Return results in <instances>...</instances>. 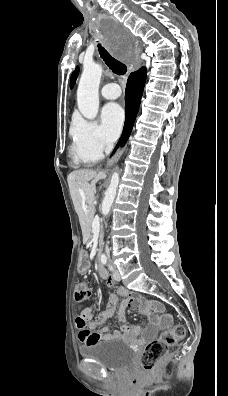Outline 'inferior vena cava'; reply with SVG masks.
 Wrapping results in <instances>:
<instances>
[{"label": "inferior vena cava", "instance_id": "inferior-vena-cava-1", "mask_svg": "<svg viewBox=\"0 0 228 396\" xmlns=\"http://www.w3.org/2000/svg\"><path fill=\"white\" fill-rule=\"evenodd\" d=\"M112 149H113V142H111V141L107 142L106 148H105V153L109 154L112 151ZM105 252H106L107 255L110 254V249H109V247L107 245L105 247Z\"/></svg>", "mask_w": 228, "mask_h": 396}]
</instances>
